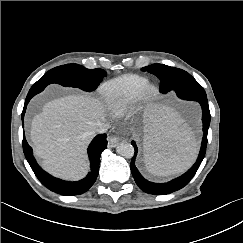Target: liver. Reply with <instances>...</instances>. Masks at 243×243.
<instances>
[{
  "instance_id": "liver-1",
  "label": "liver",
  "mask_w": 243,
  "mask_h": 243,
  "mask_svg": "<svg viewBox=\"0 0 243 243\" xmlns=\"http://www.w3.org/2000/svg\"><path fill=\"white\" fill-rule=\"evenodd\" d=\"M105 116V105L90 95H69L45 103L34 116L30 132L44 169L64 179L83 177L88 169L87 146Z\"/></svg>"
}]
</instances>
